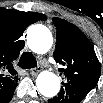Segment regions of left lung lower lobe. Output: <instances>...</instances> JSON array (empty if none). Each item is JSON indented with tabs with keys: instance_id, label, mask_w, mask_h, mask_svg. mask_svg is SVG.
Segmentation results:
<instances>
[{
	"instance_id": "1",
	"label": "left lung lower lobe",
	"mask_w": 103,
	"mask_h": 103,
	"mask_svg": "<svg viewBox=\"0 0 103 103\" xmlns=\"http://www.w3.org/2000/svg\"><path fill=\"white\" fill-rule=\"evenodd\" d=\"M90 90L80 87V86H72L66 85L63 91L53 99H49V103H56L58 98L63 97L64 103H80L85 96L88 94Z\"/></svg>"
}]
</instances>
